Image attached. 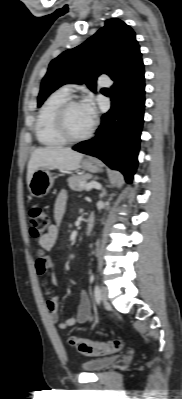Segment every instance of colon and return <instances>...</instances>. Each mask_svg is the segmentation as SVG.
<instances>
[{"label": "colon", "instance_id": "colon-1", "mask_svg": "<svg viewBox=\"0 0 182 399\" xmlns=\"http://www.w3.org/2000/svg\"><path fill=\"white\" fill-rule=\"evenodd\" d=\"M30 234L35 237L43 236L50 224V217L46 210L40 205H33L27 211ZM68 344L81 354L87 356H105L119 352L123 347L121 340H110L106 342H96L70 337Z\"/></svg>", "mask_w": 182, "mask_h": 399}]
</instances>
